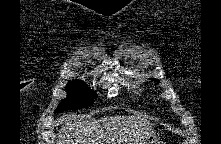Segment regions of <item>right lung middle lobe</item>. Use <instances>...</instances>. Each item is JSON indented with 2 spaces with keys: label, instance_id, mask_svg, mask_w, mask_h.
Here are the masks:
<instances>
[{
  "label": "right lung middle lobe",
  "instance_id": "dd1d6c3e",
  "mask_svg": "<svg viewBox=\"0 0 221 144\" xmlns=\"http://www.w3.org/2000/svg\"><path fill=\"white\" fill-rule=\"evenodd\" d=\"M67 92V98L59 103L55 113L90 106L96 96V93L90 90L85 83L77 80L67 84Z\"/></svg>",
  "mask_w": 221,
  "mask_h": 144
}]
</instances>
